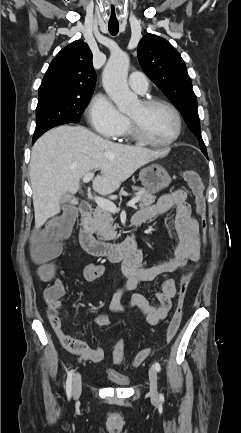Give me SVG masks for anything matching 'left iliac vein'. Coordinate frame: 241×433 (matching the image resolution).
<instances>
[{
    "label": "left iliac vein",
    "mask_w": 241,
    "mask_h": 433,
    "mask_svg": "<svg viewBox=\"0 0 241 433\" xmlns=\"http://www.w3.org/2000/svg\"><path fill=\"white\" fill-rule=\"evenodd\" d=\"M149 380H150V396L153 401H157L159 398L157 389V372L152 366L149 369Z\"/></svg>",
    "instance_id": "left-iliac-vein-1"
}]
</instances>
